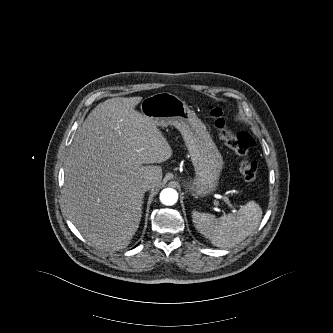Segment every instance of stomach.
<instances>
[{"label":"stomach","instance_id":"stomach-1","mask_svg":"<svg viewBox=\"0 0 333 333\" xmlns=\"http://www.w3.org/2000/svg\"><path fill=\"white\" fill-rule=\"evenodd\" d=\"M141 113L157 126L177 128L190 153L195 178L185 185L197 196L211 194L217 189L223 159L201 120L178 96L169 92L155 93L144 98Z\"/></svg>","mask_w":333,"mask_h":333}]
</instances>
